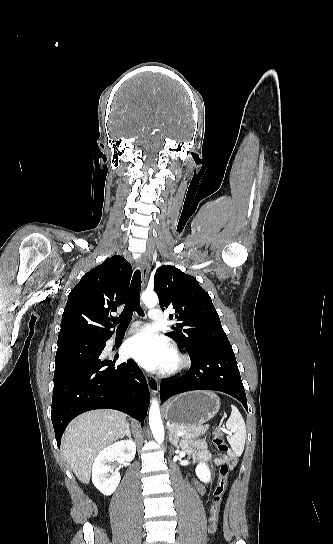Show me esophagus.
<instances>
[{
  "mask_svg": "<svg viewBox=\"0 0 333 544\" xmlns=\"http://www.w3.org/2000/svg\"><path fill=\"white\" fill-rule=\"evenodd\" d=\"M139 268H140V272H141L142 285L144 286L145 283H146V280H147V275H148V263H147V260H146L145 257H142L139 260ZM146 380H147V384H148V387H149V390L151 391V393L156 394L158 392V389H159V385H158L157 380H155L154 378H152L150 376H147Z\"/></svg>",
  "mask_w": 333,
  "mask_h": 544,
  "instance_id": "obj_1",
  "label": "esophagus"
}]
</instances>
